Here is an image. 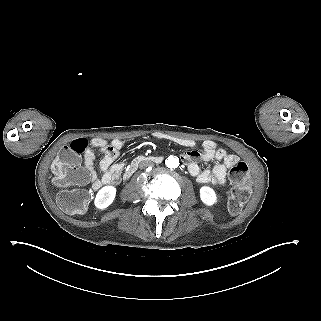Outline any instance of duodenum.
I'll return each mask as SVG.
<instances>
[{
  "label": "duodenum",
  "instance_id": "obj_1",
  "mask_svg": "<svg viewBox=\"0 0 321 321\" xmlns=\"http://www.w3.org/2000/svg\"><path fill=\"white\" fill-rule=\"evenodd\" d=\"M154 162V163H161L162 162V158L161 157H156V156H145V155H141L136 157L126 168L123 176L124 178H129L138 168L139 164L142 162Z\"/></svg>",
  "mask_w": 321,
  "mask_h": 321
}]
</instances>
